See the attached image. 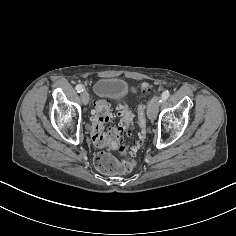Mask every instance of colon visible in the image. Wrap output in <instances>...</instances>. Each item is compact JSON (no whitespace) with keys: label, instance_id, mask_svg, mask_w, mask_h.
<instances>
[{"label":"colon","instance_id":"5ec220e1","mask_svg":"<svg viewBox=\"0 0 236 236\" xmlns=\"http://www.w3.org/2000/svg\"><path fill=\"white\" fill-rule=\"evenodd\" d=\"M143 92L153 90L149 83L141 85ZM117 114L121 117L118 125L112 126L105 132V126ZM138 119L140 133L135 144H131L125 137L134 126V119L127 105L114 107L108 100H100L95 104L91 119V137L93 144L98 148H109L118 150L122 154L133 155L140 147L146 128V106L140 104L138 107ZM96 168L105 174L129 173L135 168L133 160L117 161L114 156L107 152H99L94 157Z\"/></svg>","mask_w":236,"mask_h":236}]
</instances>
